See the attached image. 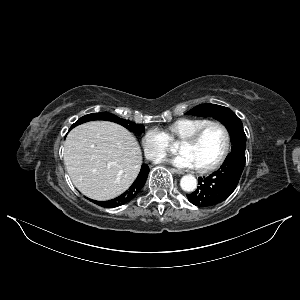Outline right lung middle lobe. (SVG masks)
<instances>
[{"label":"right lung middle lobe","instance_id":"dd1d6c3e","mask_svg":"<svg viewBox=\"0 0 300 300\" xmlns=\"http://www.w3.org/2000/svg\"><path fill=\"white\" fill-rule=\"evenodd\" d=\"M91 120L112 121V122H115V123H118V124L124 126L125 128H127L131 132L138 133V134H141L144 130V126L142 124H135L131 121L118 118L117 116H115L111 113H108V112L92 113V114L85 115V116L81 117L80 119H78L71 126L70 129L74 128L75 126H77L79 124H82V123H85V122H88V121H91Z\"/></svg>","mask_w":300,"mask_h":300}]
</instances>
